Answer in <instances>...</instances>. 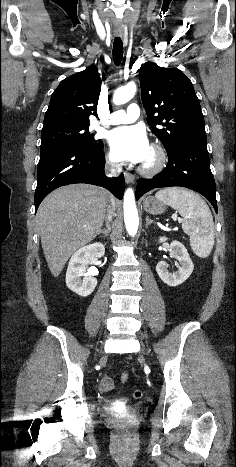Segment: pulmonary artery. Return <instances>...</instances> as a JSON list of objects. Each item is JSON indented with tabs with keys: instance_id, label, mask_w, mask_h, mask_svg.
Listing matches in <instances>:
<instances>
[{
	"instance_id": "e3ab8cb5",
	"label": "pulmonary artery",
	"mask_w": 236,
	"mask_h": 467,
	"mask_svg": "<svg viewBox=\"0 0 236 467\" xmlns=\"http://www.w3.org/2000/svg\"><path fill=\"white\" fill-rule=\"evenodd\" d=\"M140 115V108L137 104L132 103L128 106L127 110H118L109 116L106 121H99L97 124H122L134 122Z\"/></svg>"
}]
</instances>
